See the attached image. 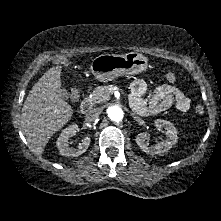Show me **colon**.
<instances>
[{
  "mask_svg": "<svg viewBox=\"0 0 221 221\" xmlns=\"http://www.w3.org/2000/svg\"><path fill=\"white\" fill-rule=\"evenodd\" d=\"M165 79L168 82L173 83L176 80V77L173 73H167L165 75ZM71 98L72 100L76 101L79 98V92L77 90H73L71 93ZM195 113L198 115H202L204 113V108L201 105H197L195 107Z\"/></svg>",
  "mask_w": 221,
  "mask_h": 221,
  "instance_id": "obj_1",
  "label": "colon"
}]
</instances>
